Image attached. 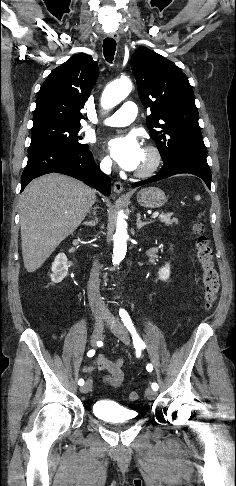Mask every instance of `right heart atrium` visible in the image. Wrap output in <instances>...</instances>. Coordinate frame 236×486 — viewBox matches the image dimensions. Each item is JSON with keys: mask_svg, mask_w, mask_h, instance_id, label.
<instances>
[{"mask_svg": "<svg viewBox=\"0 0 236 486\" xmlns=\"http://www.w3.org/2000/svg\"><path fill=\"white\" fill-rule=\"evenodd\" d=\"M99 167L103 172H109L112 168V162L108 157H101Z\"/></svg>", "mask_w": 236, "mask_h": 486, "instance_id": "1", "label": "right heart atrium"}]
</instances>
